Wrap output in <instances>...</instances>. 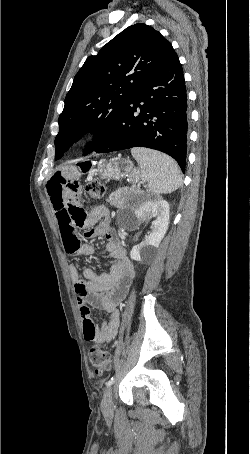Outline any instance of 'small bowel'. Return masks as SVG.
Wrapping results in <instances>:
<instances>
[{
  "instance_id": "obj_1",
  "label": "small bowel",
  "mask_w": 250,
  "mask_h": 454,
  "mask_svg": "<svg viewBox=\"0 0 250 454\" xmlns=\"http://www.w3.org/2000/svg\"><path fill=\"white\" fill-rule=\"evenodd\" d=\"M47 191L56 214L61 237L68 254L91 255L94 247L82 244L77 229H83L85 238L104 236L106 251L112 264L108 273L97 275L90 268L82 272L70 265L69 272L74 284L82 317L84 339L96 343L110 342L118 332L119 305L125 298L134 270L126 250L110 226L107 208L99 206L87 212L79 201L82 186L78 179L56 174L47 182ZM91 307L104 310L108 321L95 324L90 313Z\"/></svg>"
}]
</instances>
